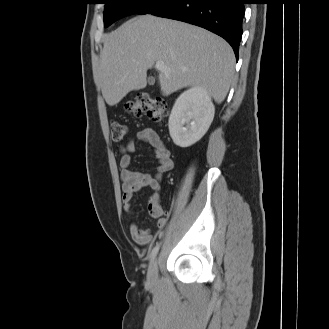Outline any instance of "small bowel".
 <instances>
[{
    "mask_svg": "<svg viewBox=\"0 0 329 329\" xmlns=\"http://www.w3.org/2000/svg\"><path fill=\"white\" fill-rule=\"evenodd\" d=\"M137 137L142 143L148 144L153 149L158 164L154 175L132 170L130 169L131 154L135 150V145L133 142H129L121 148L119 165L121 167L120 178L122 181L123 208L127 213H133L131 201L134 193L150 188L152 194L148 201V212L151 217L157 220V227L162 229L165 227L167 220L163 216V208L160 203L161 180L162 175L173 168V161L168 148L156 131L148 128L142 129L138 132ZM129 231L132 240L140 246L148 245L154 240L150 230L140 229L134 222L130 224Z\"/></svg>",
    "mask_w": 329,
    "mask_h": 329,
    "instance_id": "small-bowel-1",
    "label": "small bowel"
}]
</instances>
